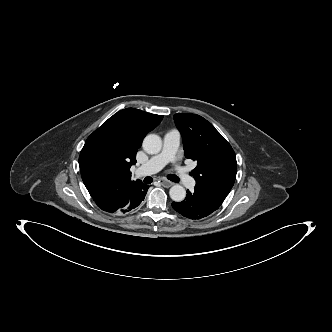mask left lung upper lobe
Here are the masks:
<instances>
[{"instance_id": "1", "label": "left lung upper lobe", "mask_w": 332, "mask_h": 332, "mask_svg": "<svg viewBox=\"0 0 332 332\" xmlns=\"http://www.w3.org/2000/svg\"><path fill=\"white\" fill-rule=\"evenodd\" d=\"M186 158L197 162L192 171L195 190L221 205L234 185L237 162L231 145L203 117L175 114Z\"/></svg>"}]
</instances>
